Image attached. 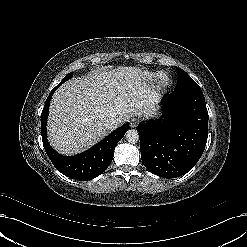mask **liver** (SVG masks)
<instances>
[{
    "label": "liver",
    "mask_w": 247,
    "mask_h": 247,
    "mask_svg": "<svg viewBox=\"0 0 247 247\" xmlns=\"http://www.w3.org/2000/svg\"><path fill=\"white\" fill-rule=\"evenodd\" d=\"M140 77L137 67H102L65 82L50 103V145L61 154H77L111 131L104 126L110 118L123 123L134 115L154 116L158 97Z\"/></svg>",
    "instance_id": "1"
}]
</instances>
